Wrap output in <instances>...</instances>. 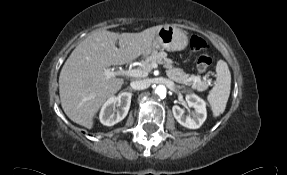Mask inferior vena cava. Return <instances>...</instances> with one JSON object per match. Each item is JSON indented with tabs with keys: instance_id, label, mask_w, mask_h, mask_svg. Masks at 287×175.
I'll return each instance as SVG.
<instances>
[{
	"instance_id": "602c4592",
	"label": "inferior vena cava",
	"mask_w": 287,
	"mask_h": 175,
	"mask_svg": "<svg viewBox=\"0 0 287 175\" xmlns=\"http://www.w3.org/2000/svg\"><path fill=\"white\" fill-rule=\"evenodd\" d=\"M130 86L135 90H144L150 86L149 80H137L130 83Z\"/></svg>"
}]
</instances>
